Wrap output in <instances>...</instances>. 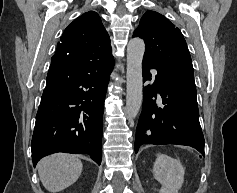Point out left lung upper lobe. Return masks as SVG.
<instances>
[{"instance_id":"obj_1","label":"left lung upper lobe","mask_w":237,"mask_h":193,"mask_svg":"<svg viewBox=\"0 0 237 193\" xmlns=\"http://www.w3.org/2000/svg\"><path fill=\"white\" fill-rule=\"evenodd\" d=\"M144 39L143 57L158 69L194 80L191 56L180 30L163 15L147 11L141 18L133 37Z\"/></svg>"}]
</instances>
